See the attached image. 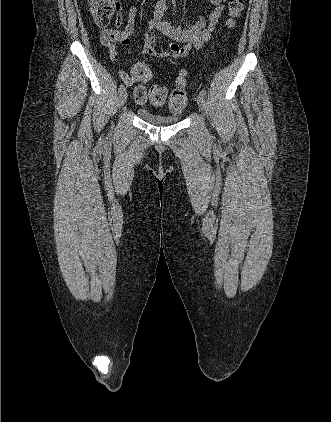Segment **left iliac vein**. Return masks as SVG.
<instances>
[{"instance_id": "1", "label": "left iliac vein", "mask_w": 331, "mask_h": 422, "mask_svg": "<svg viewBox=\"0 0 331 422\" xmlns=\"http://www.w3.org/2000/svg\"><path fill=\"white\" fill-rule=\"evenodd\" d=\"M197 103L200 109L203 111L205 109V97L201 93H199L197 96Z\"/></svg>"}]
</instances>
